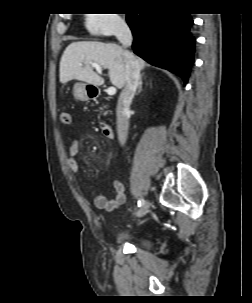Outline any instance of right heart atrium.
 I'll list each match as a JSON object with an SVG mask.
<instances>
[{"instance_id":"1","label":"right heart atrium","mask_w":252,"mask_h":303,"mask_svg":"<svg viewBox=\"0 0 252 303\" xmlns=\"http://www.w3.org/2000/svg\"><path fill=\"white\" fill-rule=\"evenodd\" d=\"M86 19L87 28L96 35L108 37L121 35L127 30L124 20L116 14H91Z\"/></svg>"}]
</instances>
